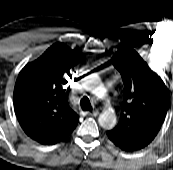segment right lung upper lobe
Returning a JSON list of instances; mask_svg holds the SVG:
<instances>
[{
    "mask_svg": "<svg viewBox=\"0 0 173 170\" xmlns=\"http://www.w3.org/2000/svg\"><path fill=\"white\" fill-rule=\"evenodd\" d=\"M84 58L63 43H55L37 60L28 63L17 78L13 102L24 132L43 145L69 135L78 115L67 103L64 75Z\"/></svg>",
    "mask_w": 173,
    "mask_h": 170,
    "instance_id": "obj_1",
    "label": "right lung upper lobe"
}]
</instances>
